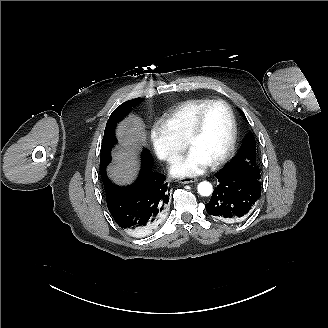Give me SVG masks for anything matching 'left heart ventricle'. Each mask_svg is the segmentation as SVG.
I'll list each match as a JSON object with an SVG mask.
<instances>
[{"label":"left heart ventricle","instance_id":"b2bd125f","mask_svg":"<svg viewBox=\"0 0 328 328\" xmlns=\"http://www.w3.org/2000/svg\"><path fill=\"white\" fill-rule=\"evenodd\" d=\"M232 123L226 107H212L204 120L200 133L189 144V149L197 150L210 163L221 157L231 140Z\"/></svg>","mask_w":328,"mask_h":328}]
</instances>
